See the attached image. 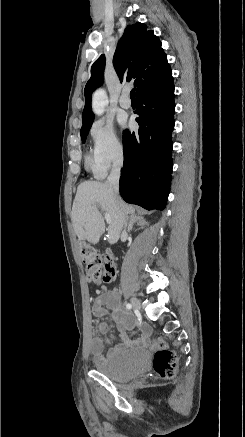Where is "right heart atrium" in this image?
Masks as SVG:
<instances>
[{
  "label": "right heart atrium",
  "mask_w": 245,
  "mask_h": 437,
  "mask_svg": "<svg viewBox=\"0 0 245 437\" xmlns=\"http://www.w3.org/2000/svg\"><path fill=\"white\" fill-rule=\"evenodd\" d=\"M92 145L91 164L97 177H104L108 171L123 161L124 145L113 125L97 121L90 128Z\"/></svg>",
  "instance_id": "right-heart-atrium-1"
}]
</instances>
